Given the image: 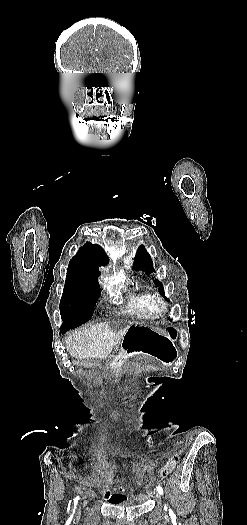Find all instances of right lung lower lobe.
<instances>
[{
  "instance_id": "98d812e1",
  "label": "right lung lower lobe",
  "mask_w": 247,
  "mask_h": 525,
  "mask_svg": "<svg viewBox=\"0 0 247 525\" xmlns=\"http://www.w3.org/2000/svg\"><path fill=\"white\" fill-rule=\"evenodd\" d=\"M70 329H72V328H64V327H61V328H60V333H64V332H66V331H68V330H70Z\"/></svg>"
}]
</instances>
